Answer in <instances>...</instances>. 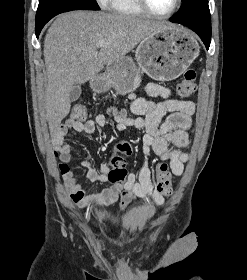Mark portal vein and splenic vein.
I'll return each mask as SVG.
<instances>
[{
    "instance_id": "18ae733b",
    "label": "portal vein and splenic vein",
    "mask_w": 247,
    "mask_h": 280,
    "mask_svg": "<svg viewBox=\"0 0 247 280\" xmlns=\"http://www.w3.org/2000/svg\"><path fill=\"white\" fill-rule=\"evenodd\" d=\"M102 46V44L101 43H99V44H97V48H100Z\"/></svg>"
}]
</instances>
